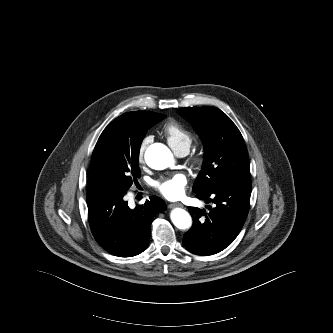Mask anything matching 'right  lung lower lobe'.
Returning a JSON list of instances; mask_svg holds the SVG:
<instances>
[{"label": "right lung lower lobe", "instance_id": "right-lung-lower-lobe-1", "mask_svg": "<svg viewBox=\"0 0 333 333\" xmlns=\"http://www.w3.org/2000/svg\"><path fill=\"white\" fill-rule=\"evenodd\" d=\"M125 194L88 191V219L92 234L101 247L113 255L131 257L146 249L152 219L166 209V204L161 198L151 196L132 210L123 200Z\"/></svg>", "mask_w": 333, "mask_h": 333}]
</instances>
